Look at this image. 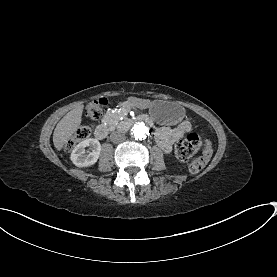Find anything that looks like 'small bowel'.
<instances>
[{"mask_svg":"<svg viewBox=\"0 0 277 277\" xmlns=\"http://www.w3.org/2000/svg\"><path fill=\"white\" fill-rule=\"evenodd\" d=\"M192 129L188 120H184L173 127H159L155 132V140L158 146L170 153L173 145Z\"/></svg>","mask_w":277,"mask_h":277,"instance_id":"c3829d8e","label":"small bowel"}]
</instances>
